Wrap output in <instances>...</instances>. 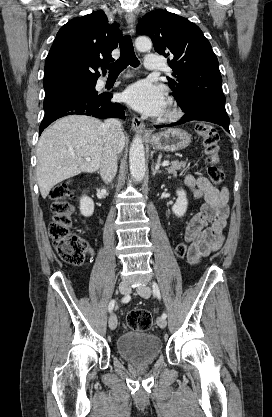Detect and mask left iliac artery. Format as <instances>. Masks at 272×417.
Listing matches in <instances>:
<instances>
[{"label": "left iliac artery", "mask_w": 272, "mask_h": 417, "mask_svg": "<svg viewBox=\"0 0 272 417\" xmlns=\"http://www.w3.org/2000/svg\"><path fill=\"white\" fill-rule=\"evenodd\" d=\"M152 289H153L154 295L160 300L161 299V294H160L158 284L156 282L152 283ZM162 317L166 319V317H167L166 313H163Z\"/></svg>", "instance_id": "left-iliac-artery-1"}]
</instances>
